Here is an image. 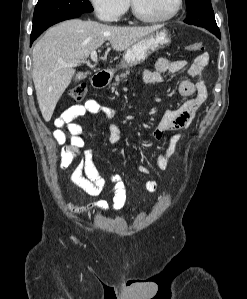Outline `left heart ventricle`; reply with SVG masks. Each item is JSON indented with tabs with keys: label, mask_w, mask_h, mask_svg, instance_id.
Returning a JSON list of instances; mask_svg holds the SVG:
<instances>
[{
	"label": "left heart ventricle",
	"mask_w": 247,
	"mask_h": 299,
	"mask_svg": "<svg viewBox=\"0 0 247 299\" xmlns=\"http://www.w3.org/2000/svg\"><path fill=\"white\" fill-rule=\"evenodd\" d=\"M139 10L150 17L168 14L174 7L175 0H135Z\"/></svg>",
	"instance_id": "obj_1"
}]
</instances>
